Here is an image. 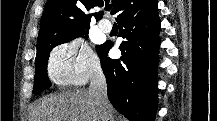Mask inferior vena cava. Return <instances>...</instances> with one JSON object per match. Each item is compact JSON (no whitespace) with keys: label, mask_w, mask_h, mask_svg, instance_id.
I'll return each mask as SVG.
<instances>
[{"label":"inferior vena cava","mask_w":217,"mask_h":121,"mask_svg":"<svg viewBox=\"0 0 217 121\" xmlns=\"http://www.w3.org/2000/svg\"><path fill=\"white\" fill-rule=\"evenodd\" d=\"M89 93L93 96L95 104L102 112V120L113 121V115L107 97L106 78L101 68H97L91 77Z\"/></svg>","instance_id":"obj_1"}]
</instances>
